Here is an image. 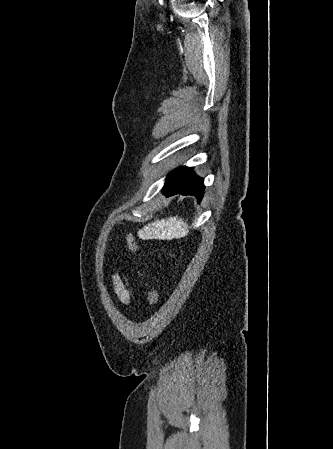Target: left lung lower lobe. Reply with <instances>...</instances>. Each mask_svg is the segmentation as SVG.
Here are the masks:
<instances>
[{
	"label": "left lung lower lobe",
	"mask_w": 333,
	"mask_h": 449,
	"mask_svg": "<svg viewBox=\"0 0 333 449\" xmlns=\"http://www.w3.org/2000/svg\"><path fill=\"white\" fill-rule=\"evenodd\" d=\"M163 191L167 196L175 194L194 195L198 200H201L204 191L203 178L195 175L192 168L181 167L167 177Z\"/></svg>",
	"instance_id": "1"
}]
</instances>
